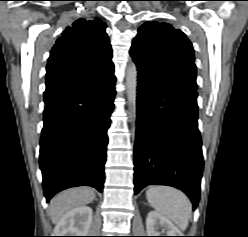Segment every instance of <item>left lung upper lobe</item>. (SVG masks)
<instances>
[{
    "label": "left lung upper lobe",
    "instance_id": "left-lung-upper-lobe-1",
    "mask_svg": "<svg viewBox=\"0 0 248 237\" xmlns=\"http://www.w3.org/2000/svg\"><path fill=\"white\" fill-rule=\"evenodd\" d=\"M130 55L138 72L174 88L197 90L194 50L186 35L172 25L146 22L138 29Z\"/></svg>",
    "mask_w": 248,
    "mask_h": 237
}]
</instances>
